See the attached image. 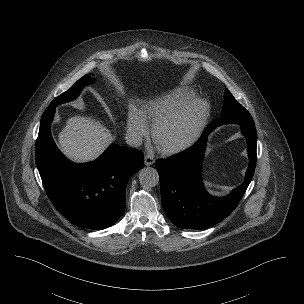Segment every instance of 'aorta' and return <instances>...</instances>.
Returning <instances> with one entry per match:
<instances>
[{"instance_id": "obj_1", "label": "aorta", "mask_w": 304, "mask_h": 304, "mask_svg": "<svg viewBox=\"0 0 304 304\" xmlns=\"http://www.w3.org/2000/svg\"><path fill=\"white\" fill-rule=\"evenodd\" d=\"M139 181L145 188H151L159 183V175L156 169L144 167L139 171Z\"/></svg>"}]
</instances>
